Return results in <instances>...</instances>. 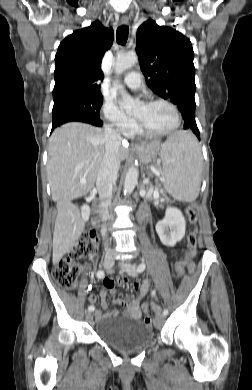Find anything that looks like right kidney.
<instances>
[{
	"label": "right kidney",
	"mask_w": 252,
	"mask_h": 390,
	"mask_svg": "<svg viewBox=\"0 0 252 390\" xmlns=\"http://www.w3.org/2000/svg\"><path fill=\"white\" fill-rule=\"evenodd\" d=\"M81 216L84 221H88L90 216V207L88 205H83L81 207Z\"/></svg>",
	"instance_id": "ca27d5eb"
}]
</instances>
